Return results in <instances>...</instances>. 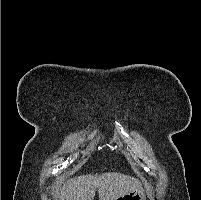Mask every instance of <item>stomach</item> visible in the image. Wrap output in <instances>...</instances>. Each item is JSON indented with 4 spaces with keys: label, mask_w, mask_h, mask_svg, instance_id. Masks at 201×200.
<instances>
[{
    "label": "stomach",
    "mask_w": 201,
    "mask_h": 200,
    "mask_svg": "<svg viewBox=\"0 0 201 200\" xmlns=\"http://www.w3.org/2000/svg\"><path fill=\"white\" fill-rule=\"evenodd\" d=\"M116 200H146L145 193L143 189H138L132 192H129L125 195H122Z\"/></svg>",
    "instance_id": "obj_1"
}]
</instances>
